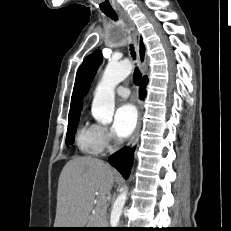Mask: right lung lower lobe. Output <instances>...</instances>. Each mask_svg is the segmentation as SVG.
<instances>
[{"label":"right lung lower lobe","mask_w":231,"mask_h":231,"mask_svg":"<svg viewBox=\"0 0 231 231\" xmlns=\"http://www.w3.org/2000/svg\"><path fill=\"white\" fill-rule=\"evenodd\" d=\"M146 83H147V78H144L142 85L140 87V97L141 98L145 96ZM133 152H134V149L127 150L126 148H124L109 157V163L113 167H115L125 179L128 178L129 173H130V168L132 166V161H133Z\"/></svg>","instance_id":"98d812e1"}]
</instances>
